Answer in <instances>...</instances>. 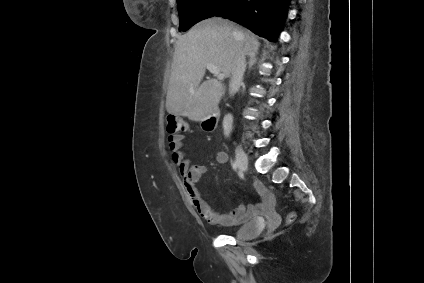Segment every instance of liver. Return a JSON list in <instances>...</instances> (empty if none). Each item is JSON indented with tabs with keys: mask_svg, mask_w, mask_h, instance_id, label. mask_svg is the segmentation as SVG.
<instances>
[{
	"mask_svg": "<svg viewBox=\"0 0 424 283\" xmlns=\"http://www.w3.org/2000/svg\"><path fill=\"white\" fill-rule=\"evenodd\" d=\"M260 44L249 30L218 17L205 19L178 37L166 97L167 112L192 121L206 120L225 92L216 78L200 84L206 64L217 66L225 78L232 75L240 53H255Z\"/></svg>",
	"mask_w": 424,
	"mask_h": 283,
	"instance_id": "obj_1",
	"label": "liver"
}]
</instances>
